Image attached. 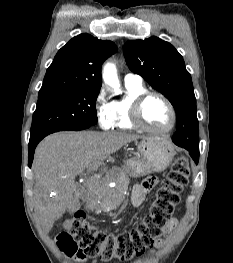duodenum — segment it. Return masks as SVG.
<instances>
[{"instance_id": "410a0bca", "label": "duodenum", "mask_w": 233, "mask_h": 263, "mask_svg": "<svg viewBox=\"0 0 233 263\" xmlns=\"http://www.w3.org/2000/svg\"><path fill=\"white\" fill-rule=\"evenodd\" d=\"M86 205H87L88 209L93 210V209L96 208L97 203H96V200L93 197H88L87 200H86Z\"/></svg>"}]
</instances>
